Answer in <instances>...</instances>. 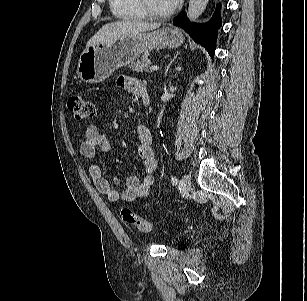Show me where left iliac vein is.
<instances>
[{"label":"left iliac vein","mask_w":307,"mask_h":301,"mask_svg":"<svg viewBox=\"0 0 307 301\" xmlns=\"http://www.w3.org/2000/svg\"><path fill=\"white\" fill-rule=\"evenodd\" d=\"M181 187L185 193H189L191 190V178L188 174H184L181 179Z\"/></svg>","instance_id":"obj_1"}]
</instances>
